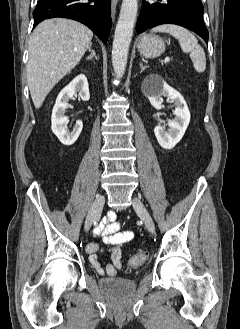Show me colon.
<instances>
[{
    "label": "colon",
    "instance_id": "5ec220e1",
    "mask_svg": "<svg viewBox=\"0 0 240 329\" xmlns=\"http://www.w3.org/2000/svg\"><path fill=\"white\" fill-rule=\"evenodd\" d=\"M146 260V254L144 252L133 255L128 261L129 269H136L140 267Z\"/></svg>",
    "mask_w": 240,
    "mask_h": 329
}]
</instances>
